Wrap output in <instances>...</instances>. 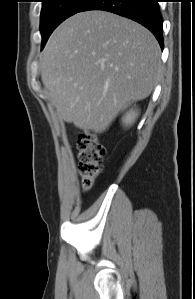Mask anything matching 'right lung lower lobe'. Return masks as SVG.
<instances>
[{"label": "right lung lower lobe", "instance_id": "1", "mask_svg": "<svg viewBox=\"0 0 195 299\" xmlns=\"http://www.w3.org/2000/svg\"><path fill=\"white\" fill-rule=\"evenodd\" d=\"M104 10L134 20L149 29L163 48L162 16L158 0H88L79 12Z\"/></svg>", "mask_w": 195, "mask_h": 299}]
</instances>
